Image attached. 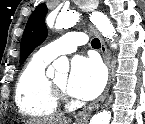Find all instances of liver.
Masks as SVG:
<instances>
[{
    "label": "liver",
    "instance_id": "6515ba94",
    "mask_svg": "<svg viewBox=\"0 0 145 124\" xmlns=\"http://www.w3.org/2000/svg\"><path fill=\"white\" fill-rule=\"evenodd\" d=\"M70 121L66 118H42L31 119L26 121L25 124H69Z\"/></svg>",
    "mask_w": 145,
    "mask_h": 124
}]
</instances>
